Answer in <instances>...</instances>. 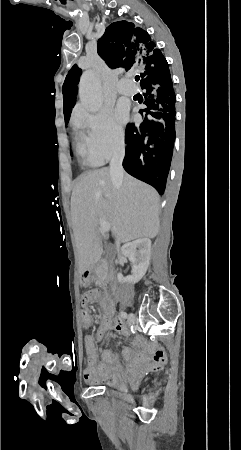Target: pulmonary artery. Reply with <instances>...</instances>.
<instances>
[{
  "label": "pulmonary artery",
  "mask_w": 241,
  "mask_h": 450,
  "mask_svg": "<svg viewBox=\"0 0 241 450\" xmlns=\"http://www.w3.org/2000/svg\"><path fill=\"white\" fill-rule=\"evenodd\" d=\"M134 80L133 78H120L117 84L118 92H129L130 87H133Z\"/></svg>",
  "instance_id": "e3ab8cb5"
}]
</instances>
